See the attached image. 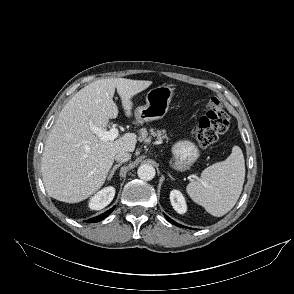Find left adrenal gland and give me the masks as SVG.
Listing matches in <instances>:
<instances>
[{"instance_id":"obj_1","label":"left adrenal gland","mask_w":294,"mask_h":294,"mask_svg":"<svg viewBox=\"0 0 294 294\" xmlns=\"http://www.w3.org/2000/svg\"><path fill=\"white\" fill-rule=\"evenodd\" d=\"M168 176L172 179V180H174V178L168 173Z\"/></svg>"}]
</instances>
